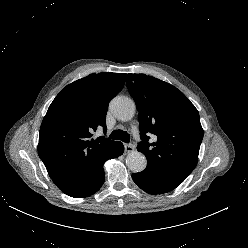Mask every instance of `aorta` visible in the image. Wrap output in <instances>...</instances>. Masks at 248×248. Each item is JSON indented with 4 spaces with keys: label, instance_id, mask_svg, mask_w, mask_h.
Returning <instances> with one entry per match:
<instances>
[{
    "label": "aorta",
    "instance_id": "obj_1",
    "mask_svg": "<svg viewBox=\"0 0 248 248\" xmlns=\"http://www.w3.org/2000/svg\"><path fill=\"white\" fill-rule=\"evenodd\" d=\"M113 115L121 121L131 120L136 113L134 101L126 96H117L110 103ZM127 167L135 173L142 172L147 166L146 157L139 151H131L126 156Z\"/></svg>",
    "mask_w": 248,
    "mask_h": 248
}]
</instances>
